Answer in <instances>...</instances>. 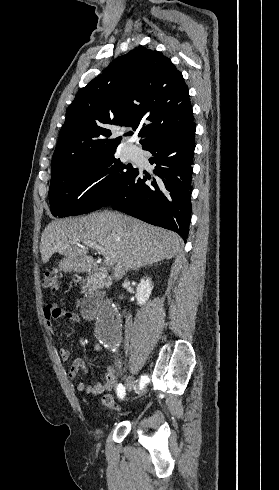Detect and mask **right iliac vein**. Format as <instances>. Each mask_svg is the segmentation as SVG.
I'll list each match as a JSON object with an SVG mask.
<instances>
[{"label": "right iliac vein", "mask_w": 279, "mask_h": 490, "mask_svg": "<svg viewBox=\"0 0 279 490\" xmlns=\"http://www.w3.org/2000/svg\"><path fill=\"white\" fill-rule=\"evenodd\" d=\"M126 388L131 391L134 388V379L133 377H128L126 382H125Z\"/></svg>", "instance_id": "63e3f726"}]
</instances>
